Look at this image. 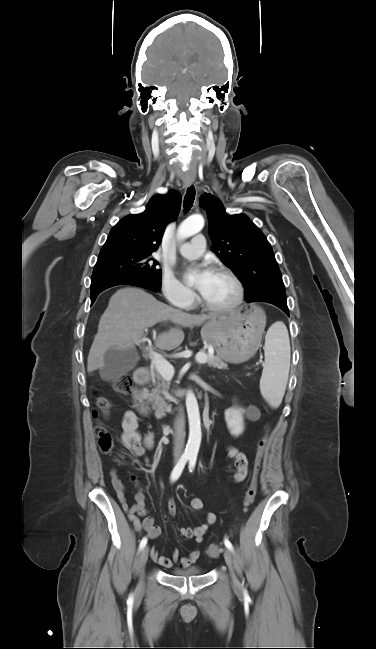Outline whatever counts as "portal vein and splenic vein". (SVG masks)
Here are the masks:
<instances>
[{
  "label": "portal vein and splenic vein",
  "mask_w": 376,
  "mask_h": 649,
  "mask_svg": "<svg viewBox=\"0 0 376 649\" xmlns=\"http://www.w3.org/2000/svg\"><path fill=\"white\" fill-rule=\"evenodd\" d=\"M148 329H145V332H147ZM151 360L153 365L155 366L156 370L159 372V374L166 380H171L173 375H174V368L173 366L164 358L159 357L156 354H151ZM196 361L199 364H205L207 362V356L203 353H198L196 356Z\"/></svg>",
  "instance_id": "18ae733b"
}]
</instances>
